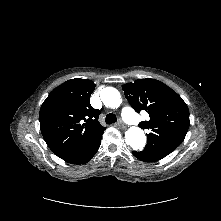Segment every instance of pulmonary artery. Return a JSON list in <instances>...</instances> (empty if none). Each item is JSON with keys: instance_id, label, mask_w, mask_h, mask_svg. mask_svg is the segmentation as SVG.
Wrapping results in <instances>:
<instances>
[{"instance_id": "1", "label": "pulmonary artery", "mask_w": 221, "mask_h": 221, "mask_svg": "<svg viewBox=\"0 0 221 221\" xmlns=\"http://www.w3.org/2000/svg\"><path fill=\"white\" fill-rule=\"evenodd\" d=\"M122 115L129 124L137 125L141 121V118L127 106L122 109Z\"/></svg>"}]
</instances>
